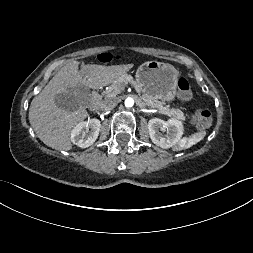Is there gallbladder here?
I'll use <instances>...</instances> for the list:
<instances>
[{
	"instance_id": "gallbladder-1",
	"label": "gallbladder",
	"mask_w": 253,
	"mask_h": 253,
	"mask_svg": "<svg viewBox=\"0 0 253 253\" xmlns=\"http://www.w3.org/2000/svg\"><path fill=\"white\" fill-rule=\"evenodd\" d=\"M90 101V93L85 86L77 87L74 90H69L66 93H60L55 97V103L59 108L67 111L77 109L80 103L87 104Z\"/></svg>"
}]
</instances>
